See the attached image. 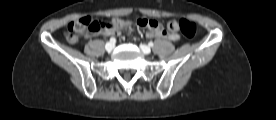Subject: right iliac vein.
Listing matches in <instances>:
<instances>
[{"label":"right iliac vein","instance_id":"63e3f726","mask_svg":"<svg viewBox=\"0 0 276 120\" xmlns=\"http://www.w3.org/2000/svg\"><path fill=\"white\" fill-rule=\"evenodd\" d=\"M114 47H115V45H114V43H107L106 45H105V49H106V51H108V52H111L113 49H114Z\"/></svg>","mask_w":276,"mask_h":120}]
</instances>
